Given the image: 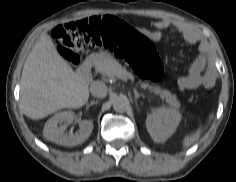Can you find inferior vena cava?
<instances>
[{
	"label": "inferior vena cava",
	"instance_id": "1",
	"mask_svg": "<svg viewBox=\"0 0 236 182\" xmlns=\"http://www.w3.org/2000/svg\"><path fill=\"white\" fill-rule=\"evenodd\" d=\"M107 86L101 81H94L91 84L90 92L96 98H104L107 95Z\"/></svg>",
	"mask_w": 236,
	"mask_h": 182
}]
</instances>
